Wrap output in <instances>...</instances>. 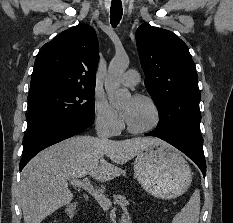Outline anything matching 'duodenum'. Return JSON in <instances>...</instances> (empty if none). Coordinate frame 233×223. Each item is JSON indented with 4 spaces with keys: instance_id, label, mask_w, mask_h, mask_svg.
I'll list each match as a JSON object with an SVG mask.
<instances>
[{
    "instance_id": "410a0bca",
    "label": "duodenum",
    "mask_w": 233,
    "mask_h": 223,
    "mask_svg": "<svg viewBox=\"0 0 233 223\" xmlns=\"http://www.w3.org/2000/svg\"><path fill=\"white\" fill-rule=\"evenodd\" d=\"M78 208V202H73L70 203L69 205H67L66 207V214L69 218H72L75 216L76 211ZM120 223H127V221L125 219H122Z\"/></svg>"
}]
</instances>
